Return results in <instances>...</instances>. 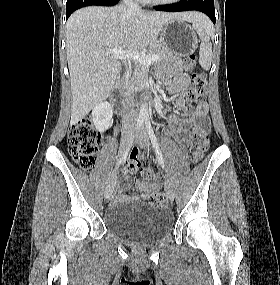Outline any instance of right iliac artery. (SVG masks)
I'll return each mask as SVG.
<instances>
[{
	"label": "right iliac artery",
	"instance_id": "right-iliac-artery-1",
	"mask_svg": "<svg viewBox=\"0 0 280 285\" xmlns=\"http://www.w3.org/2000/svg\"><path fill=\"white\" fill-rule=\"evenodd\" d=\"M144 118L143 117H139L137 120V125H136V129H135V135L133 136V138L130 140L129 145L127 146L126 150L124 151L122 157L120 158L116 169L121 165V163L127 158L128 152L130 151V148L132 147L133 144V140L134 137L136 136V134L138 133L139 129L141 128L142 124H143Z\"/></svg>",
	"mask_w": 280,
	"mask_h": 285
}]
</instances>
